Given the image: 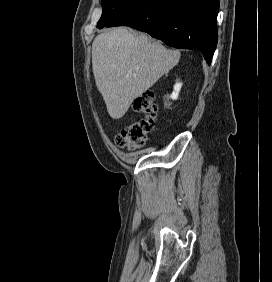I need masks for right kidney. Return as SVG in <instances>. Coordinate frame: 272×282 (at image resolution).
<instances>
[{
  "label": "right kidney",
  "mask_w": 272,
  "mask_h": 282,
  "mask_svg": "<svg viewBox=\"0 0 272 282\" xmlns=\"http://www.w3.org/2000/svg\"><path fill=\"white\" fill-rule=\"evenodd\" d=\"M181 87H182V83L181 82H176L175 85H174V90L172 92V94L170 95V98L172 100H176L179 96V92L181 90Z\"/></svg>",
  "instance_id": "1"
}]
</instances>
